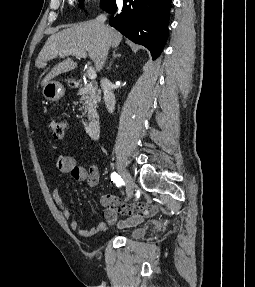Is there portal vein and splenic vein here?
<instances>
[{
	"label": "portal vein and splenic vein",
	"instance_id": "1",
	"mask_svg": "<svg viewBox=\"0 0 255 287\" xmlns=\"http://www.w3.org/2000/svg\"><path fill=\"white\" fill-rule=\"evenodd\" d=\"M76 56H78V58H87V52H78ZM87 74L89 80H95V78H97L96 72L93 70V68H89V70H87Z\"/></svg>",
	"mask_w": 255,
	"mask_h": 287
}]
</instances>
